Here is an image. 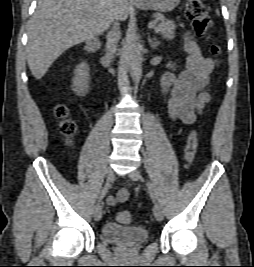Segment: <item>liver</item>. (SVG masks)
<instances>
[{"instance_id":"6515ba94","label":"liver","mask_w":254,"mask_h":267,"mask_svg":"<svg viewBox=\"0 0 254 267\" xmlns=\"http://www.w3.org/2000/svg\"><path fill=\"white\" fill-rule=\"evenodd\" d=\"M128 0H38L29 21L27 62L41 79L66 50L102 34L112 20L125 21Z\"/></svg>"}]
</instances>
